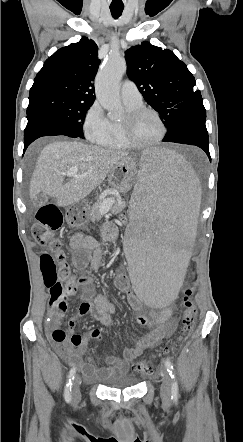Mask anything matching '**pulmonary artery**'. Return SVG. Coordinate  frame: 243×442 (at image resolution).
<instances>
[{"label":"pulmonary artery","instance_id":"obj_1","mask_svg":"<svg viewBox=\"0 0 243 442\" xmlns=\"http://www.w3.org/2000/svg\"><path fill=\"white\" fill-rule=\"evenodd\" d=\"M121 97L123 102L130 104L142 103V96L134 82L126 80L121 87Z\"/></svg>","mask_w":243,"mask_h":442}]
</instances>
